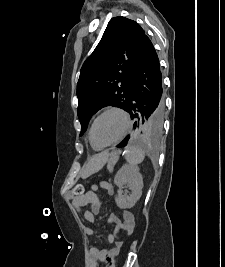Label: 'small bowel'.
Returning <instances> with one entry per match:
<instances>
[{
	"label": "small bowel",
	"mask_w": 225,
	"mask_h": 267,
	"mask_svg": "<svg viewBox=\"0 0 225 267\" xmlns=\"http://www.w3.org/2000/svg\"><path fill=\"white\" fill-rule=\"evenodd\" d=\"M101 186L108 194L114 193V187L111 183L103 182ZM97 190L98 186L93 185L92 190L87 192L82 198H71L76 209L82 210L86 207L89 208L84 211V218L90 223L95 222V214L99 211L101 206L100 200L96 194ZM108 222L115 225V231L108 234L107 237V245L111 247H91L88 253L89 267H102L109 259L116 257L123 245L119 234L124 233L125 235H131L135 227L133 215L126 209L122 210L121 219L116 214H111ZM85 232L90 236L94 234L93 229L89 227L85 228Z\"/></svg>",
	"instance_id": "1"
}]
</instances>
